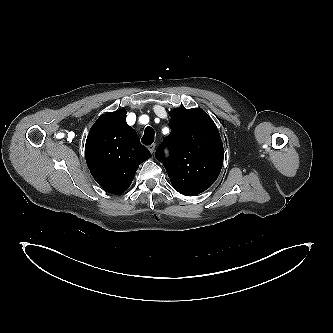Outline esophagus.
<instances>
[{
	"label": "esophagus",
	"mask_w": 333,
	"mask_h": 333,
	"mask_svg": "<svg viewBox=\"0 0 333 333\" xmlns=\"http://www.w3.org/2000/svg\"><path fill=\"white\" fill-rule=\"evenodd\" d=\"M155 147H156L155 144H151V145L148 146V149H149V151H150L152 154H153L154 151H155Z\"/></svg>",
	"instance_id": "esophagus-1"
}]
</instances>
